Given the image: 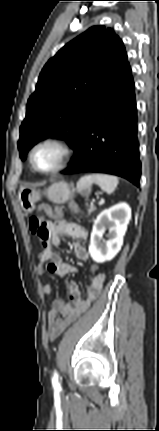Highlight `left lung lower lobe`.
<instances>
[{
	"mask_svg": "<svg viewBox=\"0 0 159 431\" xmlns=\"http://www.w3.org/2000/svg\"><path fill=\"white\" fill-rule=\"evenodd\" d=\"M131 69L85 126L64 174L108 173L139 187L141 162Z\"/></svg>",
	"mask_w": 159,
	"mask_h": 431,
	"instance_id": "1",
	"label": "left lung lower lobe"
}]
</instances>
